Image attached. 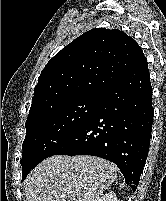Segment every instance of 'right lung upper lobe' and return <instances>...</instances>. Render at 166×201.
Wrapping results in <instances>:
<instances>
[{"instance_id":"obj_1","label":"right lung upper lobe","mask_w":166,"mask_h":201,"mask_svg":"<svg viewBox=\"0 0 166 201\" xmlns=\"http://www.w3.org/2000/svg\"><path fill=\"white\" fill-rule=\"evenodd\" d=\"M144 56L137 42L117 29L95 28L57 53L42 70L29 117L84 95H102Z\"/></svg>"}]
</instances>
